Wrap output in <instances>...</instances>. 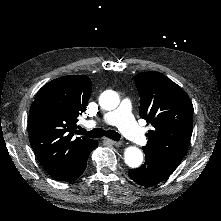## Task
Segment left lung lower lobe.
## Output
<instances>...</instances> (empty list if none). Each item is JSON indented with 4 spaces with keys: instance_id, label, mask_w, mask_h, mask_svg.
Wrapping results in <instances>:
<instances>
[{
    "instance_id": "0a47b994",
    "label": "left lung lower lobe",
    "mask_w": 221,
    "mask_h": 221,
    "mask_svg": "<svg viewBox=\"0 0 221 221\" xmlns=\"http://www.w3.org/2000/svg\"><path fill=\"white\" fill-rule=\"evenodd\" d=\"M173 171L159 164L151 155L145 153V163L129 171L130 177L142 186H153L167 179Z\"/></svg>"
}]
</instances>
